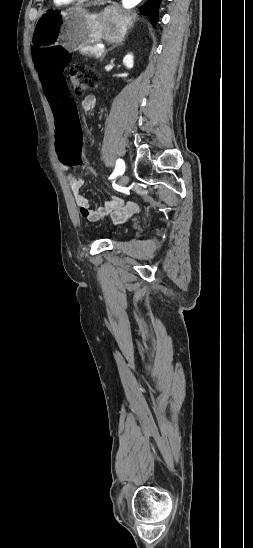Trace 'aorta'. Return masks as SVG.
Masks as SVG:
<instances>
[{
    "instance_id": "762f6f07",
    "label": "aorta",
    "mask_w": 253,
    "mask_h": 548,
    "mask_svg": "<svg viewBox=\"0 0 253 548\" xmlns=\"http://www.w3.org/2000/svg\"><path fill=\"white\" fill-rule=\"evenodd\" d=\"M142 0H122V5L126 9L133 8L141 3Z\"/></svg>"
}]
</instances>
